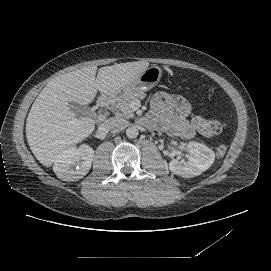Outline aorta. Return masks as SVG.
I'll use <instances>...</instances> for the list:
<instances>
[{"mask_svg":"<svg viewBox=\"0 0 271 271\" xmlns=\"http://www.w3.org/2000/svg\"><path fill=\"white\" fill-rule=\"evenodd\" d=\"M139 132L135 126H130L126 128V136L129 139H134L138 136Z\"/></svg>","mask_w":271,"mask_h":271,"instance_id":"762f6f07","label":"aorta"}]
</instances>
